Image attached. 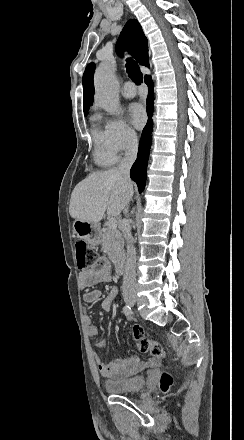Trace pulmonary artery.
Listing matches in <instances>:
<instances>
[{
  "instance_id": "1",
  "label": "pulmonary artery",
  "mask_w": 244,
  "mask_h": 440,
  "mask_svg": "<svg viewBox=\"0 0 244 440\" xmlns=\"http://www.w3.org/2000/svg\"><path fill=\"white\" fill-rule=\"evenodd\" d=\"M122 95L125 98L131 99L136 95V88L131 83L125 85V90H122Z\"/></svg>"
}]
</instances>
